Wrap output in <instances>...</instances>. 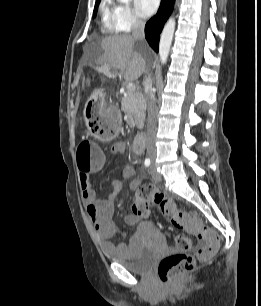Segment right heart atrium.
Listing matches in <instances>:
<instances>
[{"instance_id":"1","label":"right heart atrium","mask_w":261,"mask_h":306,"mask_svg":"<svg viewBox=\"0 0 261 306\" xmlns=\"http://www.w3.org/2000/svg\"><path fill=\"white\" fill-rule=\"evenodd\" d=\"M114 22L120 31L128 32L141 25L142 21L134 9L127 4H115Z\"/></svg>"}]
</instances>
